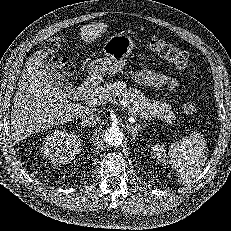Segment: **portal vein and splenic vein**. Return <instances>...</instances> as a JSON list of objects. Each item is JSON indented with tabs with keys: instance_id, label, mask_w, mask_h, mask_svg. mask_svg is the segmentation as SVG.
Here are the masks:
<instances>
[{
	"instance_id": "18ae733b",
	"label": "portal vein and splenic vein",
	"mask_w": 231,
	"mask_h": 231,
	"mask_svg": "<svg viewBox=\"0 0 231 231\" xmlns=\"http://www.w3.org/2000/svg\"><path fill=\"white\" fill-rule=\"evenodd\" d=\"M104 98L103 97H101V96H99V97H91L90 99H89V102L91 103V104H93V105H101V104H103L104 103ZM142 117H148L145 113H143L142 114ZM129 121L130 122H135V120H134V118H133V116L131 115L130 117H129Z\"/></svg>"
}]
</instances>
